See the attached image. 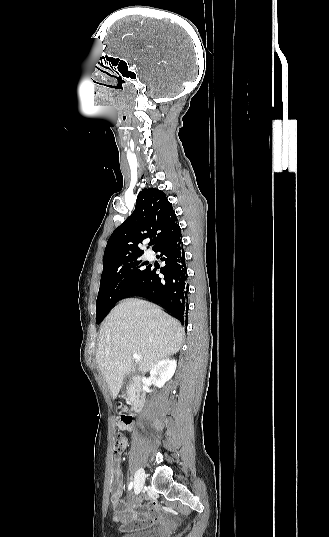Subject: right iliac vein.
I'll use <instances>...</instances> for the list:
<instances>
[{
	"label": "right iliac vein",
	"mask_w": 329,
	"mask_h": 537,
	"mask_svg": "<svg viewBox=\"0 0 329 537\" xmlns=\"http://www.w3.org/2000/svg\"><path fill=\"white\" fill-rule=\"evenodd\" d=\"M144 483H145V472L143 468H139L134 478L135 494H138L142 490Z\"/></svg>",
	"instance_id": "63e3f726"
}]
</instances>
